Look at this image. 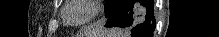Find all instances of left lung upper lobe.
Instances as JSON below:
<instances>
[{
  "label": "left lung upper lobe",
  "mask_w": 219,
  "mask_h": 37,
  "mask_svg": "<svg viewBox=\"0 0 219 37\" xmlns=\"http://www.w3.org/2000/svg\"><path fill=\"white\" fill-rule=\"evenodd\" d=\"M119 0H105V16L108 18Z\"/></svg>",
  "instance_id": "1"
}]
</instances>
